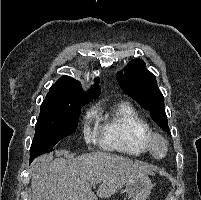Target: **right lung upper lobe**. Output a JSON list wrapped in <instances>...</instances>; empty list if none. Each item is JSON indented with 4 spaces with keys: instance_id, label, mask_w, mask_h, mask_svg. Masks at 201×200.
I'll return each instance as SVG.
<instances>
[{
    "instance_id": "right-lung-upper-lobe-1",
    "label": "right lung upper lobe",
    "mask_w": 201,
    "mask_h": 200,
    "mask_svg": "<svg viewBox=\"0 0 201 200\" xmlns=\"http://www.w3.org/2000/svg\"><path fill=\"white\" fill-rule=\"evenodd\" d=\"M94 81V86L85 92L79 81L69 76H62L49 89L45 99L53 101H86L96 99L100 95L99 79Z\"/></svg>"
}]
</instances>
